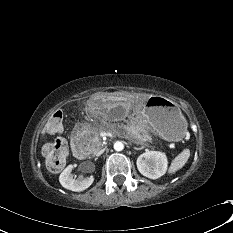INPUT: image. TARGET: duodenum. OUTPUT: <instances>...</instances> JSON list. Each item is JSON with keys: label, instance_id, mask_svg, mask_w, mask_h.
<instances>
[{"label": "duodenum", "instance_id": "duodenum-1", "mask_svg": "<svg viewBox=\"0 0 233 233\" xmlns=\"http://www.w3.org/2000/svg\"><path fill=\"white\" fill-rule=\"evenodd\" d=\"M72 149H73L74 154L78 158H85L87 156L86 147H85V145L81 141L73 139V141H72Z\"/></svg>", "mask_w": 233, "mask_h": 233}]
</instances>
